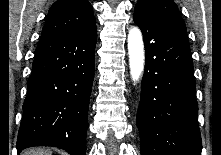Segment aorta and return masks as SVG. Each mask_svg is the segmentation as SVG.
Wrapping results in <instances>:
<instances>
[{
    "label": "aorta",
    "mask_w": 221,
    "mask_h": 155,
    "mask_svg": "<svg viewBox=\"0 0 221 155\" xmlns=\"http://www.w3.org/2000/svg\"><path fill=\"white\" fill-rule=\"evenodd\" d=\"M128 54L131 78L138 81L144 70L145 53L141 31L133 27L128 32Z\"/></svg>",
    "instance_id": "aorta-1"
}]
</instances>
